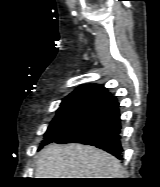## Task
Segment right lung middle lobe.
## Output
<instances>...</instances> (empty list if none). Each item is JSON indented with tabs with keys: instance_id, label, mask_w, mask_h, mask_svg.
<instances>
[{
	"instance_id": "right-lung-middle-lobe-1",
	"label": "right lung middle lobe",
	"mask_w": 160,
	"mask_h": 187,
	"mask_svg": "<svg viewBox=\"0 0 160 187\" xmlns=\"http://www.w3.org/2000/svg\"><path fill=\"white\" fill-rule=\"evenodd\" d=\"M96 105L73 104L61 106L50 123L42 145L55 142L83 123L96 109Z\"/></svg>"
}]
</instances>
